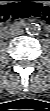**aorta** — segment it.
I'll return each instance as SVG.
<instances>
[{
  "label": "aorta",
  "mask_w": 50,
  "mask_h": 111,
  "mask_svg": "<svg viewBox=\"0 0 50 111\" xmlns=\"http://www.w3.org/2000/svg\"><path fill=\"white\" fill-rule=\"evenodd\" d=\"M40 30H41L40 25L37 24V23H30L26 27V31L30 35H37V34H39Z\"/></svg>",
  "instance_id": "aorta-1"
}]
</instances>
